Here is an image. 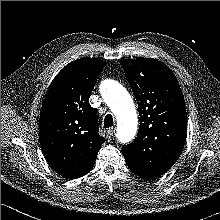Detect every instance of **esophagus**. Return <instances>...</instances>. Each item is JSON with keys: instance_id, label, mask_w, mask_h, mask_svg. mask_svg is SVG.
Here are the masks:
<instances>
[{"instance_id": "1", "label": "esophagus", "mask_w": 220, "mask_h": 220, "mask_svg": "<svg viewBox=\"0 0 220 220\" xmlns=\"http://www.w3.org/2000/svg\"><path fill=\"white\" fill-rule=\"evenodd\" d=\"M115 131H116V128H114V127L108 129V130H107V137H108V138L113 137L114 134H115Z\"/></svg>"}]
</instances>
